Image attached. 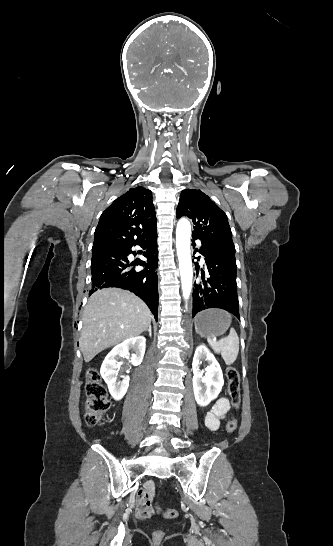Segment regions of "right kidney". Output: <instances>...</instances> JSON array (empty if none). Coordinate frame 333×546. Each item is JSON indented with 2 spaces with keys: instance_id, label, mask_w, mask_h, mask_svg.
<instances>
[{
  "instance_id": "ca27d5eb",
  "label": "right kidney",
  "mask_w": 333,
  "mask_h": 546,
  "mask_svg": "<svg viewBox=\"0 0 333 546\" xmlns=\"http://www.w3.org/2000/svg\"><path fill=\"white\" fill-rule=\"evenodd\" d=\"M145 347L146 339L143 336L130 338L114 347L105 357L100 373L102 378L107 383L109 392L113 399L117 401L122 399L129 387L128 376L124 377L121 382L116 381L118 374L116 368H119L117 361L118 357L128 356L129 350L133 349L134 353L131 355L130 363L134 366H138L143 360Z\"/></svg>"
}]
</instances>
